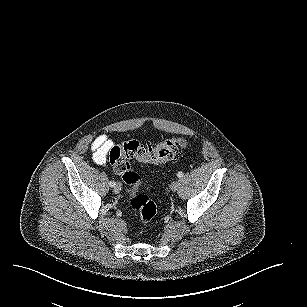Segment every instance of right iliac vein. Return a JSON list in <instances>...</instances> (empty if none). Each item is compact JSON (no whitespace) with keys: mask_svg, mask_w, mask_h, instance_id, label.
<instances>
[{"mask_svg":"<svg viewBox=\"0 0 307 307\" xmlns=\"http://www.w3.org/2000/svg\"><path fill=\"white\" fill-rule=\"evenodd\" d=\"M121 185L119 184V183H117L115 186H114V192L116 193V194H118V193H120L121 192Z\"/></svg>","mask_w":307,"mask_h":307,"instance_id":"63e3f726","label":"right iliac vein"}]
</instances>
